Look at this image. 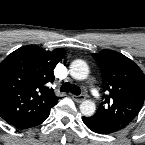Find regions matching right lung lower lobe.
<instances>
[{
    "instance_id": "obj_1",
    "label": "right lung lower lobe",
    "mask_w": 145,
    "mask_h": 145,
    "mask_svg": "<svg viewBox=\"0 0 145 145\" xmlns=\"http://www.w3.org/2000/svg\"><path fill=\"white\" fill-rule=\"evenodd\" d=\"M49 114H50V111H48L46 114H44L43 116H40L38 118L28 120L25 122H21V123L15 125V127L19 128V129H28V128L38 126L48 118Z\"/></svg>"
}]
</instances>
